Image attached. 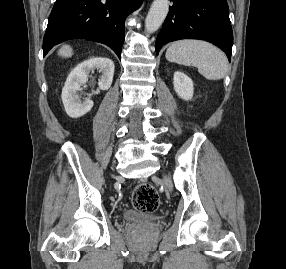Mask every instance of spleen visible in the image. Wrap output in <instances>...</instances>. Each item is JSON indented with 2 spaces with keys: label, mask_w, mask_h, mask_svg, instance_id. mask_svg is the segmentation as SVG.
<instances>
[{
  "label": "spleen",
  "mask_w": 286,
  "mask_h": 269,
  "mask_svg": "<svg viewBox=\"0 0 286 269\" xmlns=\"http://www.w3.org/2000/svg\"><path fill=\"white\" fill-rule=\"evenodd\" d=\"M165 57L170 62L197 67L208 80L224 78L228 69L226 55L206 41H176L169 46Z\"/></svg>",
  "instance_id": "obj_1"
}]
</instances>
